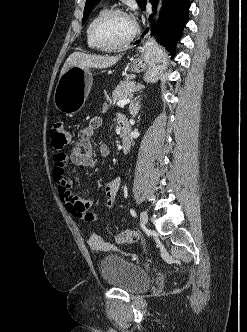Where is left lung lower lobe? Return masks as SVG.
I'll list each match as a JSON object with an SVG mask.
<instances>
[{"instance_id":"obj_1","label":"left lung lower lobe","mask_w":247,"mask_h":332,"mask_svg":"<svg viewBox=\"0 0 247 332\" xmlns=\"http://www.w3.org/2000/svg\"><path fill=\"white\" fill-rule=\"evenodd\" d=\"M149 1L153 10L156 11L158 0ZM145 6L142 9H145ZM189 7L190 0H163L158 23L152 27L158 43L163 45L172 56L175 54V46L182 35V29L188 22ZM149 20H153L152 14Z\"/></svg>"}]
</instances>
